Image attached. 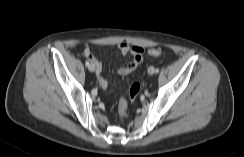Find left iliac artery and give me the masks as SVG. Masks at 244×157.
<instances>
[{"label":"left iliac artery","mask_w":244,"mask_h":157,"mask_svg":"<svg viewBox=\"0 0 244 157\" xmlns=\"http://www.w3.org/2000/svg\"><path fill=\"white\" fill-rule=\"evenodd\" d=\"M155 73H159V69L158 68L155 69Z\"/></svg>","instance_id":"44dca946"}]
</instances>
